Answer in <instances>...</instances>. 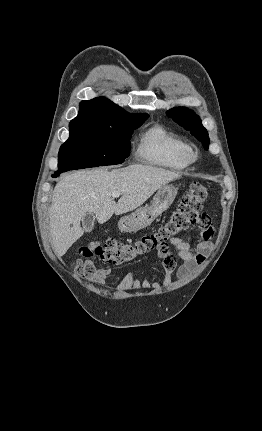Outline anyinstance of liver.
<instances>
[{"label":"liver","instance_id":"obj_1","mask_svg":"<svg viewBox=\"0 0 262 431\" xmlns=\"http://www.w3.org/2000/svg\"><path fill=\"white\" fill-rule=\"evenodd\" d=\"M163 168L134 164L108 171L107 168L77 171L64 176L55 186L50 208V234L58 257L84 233L80 221L89 212L100 224L112 215L130 212L147 201L156 190L181 177ZM120 192L116 203L111 194Z\"/></svg>","mask_w":262,"mask_h":431}]
</instances>
